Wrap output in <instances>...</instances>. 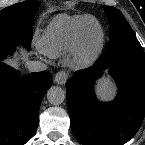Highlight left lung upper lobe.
Returning a JSON list of instances; mask_svg holds the SVG:
<instances>
[{
    "instance_id": "5c2ea615",
    "label": "left lung upper lobe",
    "mask_w": 145,
    "mask_h": 145,
    "mask_svg": "<svg viewBox=\"0 0 145 145\" xmlns=\"http://www.w3.org/2000/svg\"><path fill=\"white\" fill-rule=\"evenodd\" d=\"M104 11L111 24V30L102 57L111 62H145L143 48L123 14L110 6H105Z\"/></svg>"
}]
</instances>
